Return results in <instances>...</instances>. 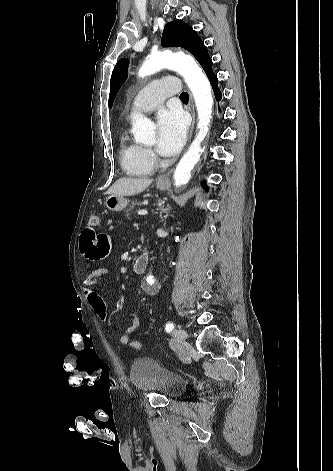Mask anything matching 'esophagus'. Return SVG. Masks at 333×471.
<instances>
[{"instance_id":"1","label":"esophagus","mask_w":333,"mask_h":471,"mask_svg":"<svg viewBox=\"0 0 333 471\" xmlns=\"http://www.w3.org/2000/svg\"><path fill=\"white\" fill-rule=\"evenodd\" d=\"M189 111H190L191 116H192V124H191L190 135H189V139H191L192 131H193V129H194V124H195V110H194L193 99H192L191 96H190V102H189ZM170 174H171V171H169V172L166 173V174L161 175V176L158 178V182H160V183L169 182Z\"/></svg>"}]
</instances>
